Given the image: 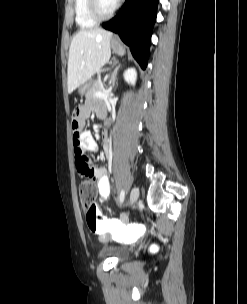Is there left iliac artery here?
<instances>
[{
    "mask_svg": "<svg viewBox=\"0 0 247 304\" xmlns=\"http://www.w3.org/2000/svg\"><path fill=\"white\" fill-rule=\"evenodd\" d=\"M124 198H125V191L121 190L120 195H119V202H120V204L123 203Z\"/></svg>",
    "mask_w": 247,
    "mask_h": 304,
    "instance_id": "44dca946",
    "label": "left iliac artery"
}]
</instances>
